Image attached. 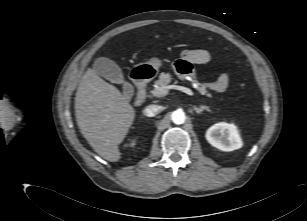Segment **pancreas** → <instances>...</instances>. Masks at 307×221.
Here are the masks:
<instances>
[{
  "mask_svg": "<svg viewBox=\"0 0 307 221\" xmlns=\"http://www.w3.org/2000/svg\"><path fill=\"white\" fill-rule=\"evenodd\" d=\"M172 80H174V78L172 77V75L168 74V73H161L159 75V78L157 81H155V85L156 87L151 91L152 95L156 96L155 92L159 89H162L166 86H168ZM195 82L198 85V91L200 94L205 95L207 94V90H206V85L205 84H201L198 81L195 80ZM208 97L211 96L210 93L207 94Z\"/></svg>",
  "mask_w": 307,
  "mask_h": 221,
  "instance_id": "cf45deb5",
  "label": "pancreas"
}]
</instances>
